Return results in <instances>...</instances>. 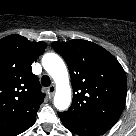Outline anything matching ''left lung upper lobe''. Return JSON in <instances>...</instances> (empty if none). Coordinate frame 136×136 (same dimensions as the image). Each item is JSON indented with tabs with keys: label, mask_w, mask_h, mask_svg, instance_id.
Listing matches in <instances>:
<instances>
[{
	"label": "left lung upper lobe",
	"mask_w": 136,
	"mask_h": 136,
	"mask_svg": "<svg viewBox=\"0 0 136 136\" xmlns=\"http://www.w3.org/2000/svg\"><path fill=\"white\" fill-rule=\"evenodd\" d=\"M71 76L73 102L60 118L74 121L116 122L126 103V75L117 59L86 40L53 42Z\"/></svg>",
	"instance_id": "obj_1"
}]
</instances>
